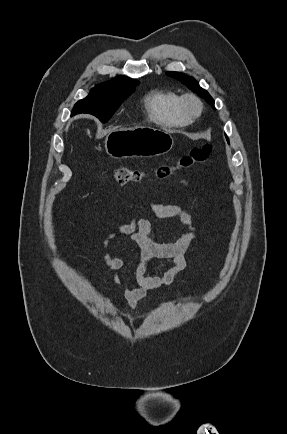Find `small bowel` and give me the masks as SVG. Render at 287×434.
Wrapping results in <instances>:
<instances>
[{
    "instance_id": "c3829d8e",
    "label": "small bowel",
    "mask_w": 287,
    "mask_h": 434,
    "mask_svg": "<svg viewBox=\"0 0 287 434\" xmlns=\"http://www.w3.org/2000/svg\"><path fill=\"white\" fill-rule=\"evenodd\" d=\"M179 184L186 187L188 182L181 180ZM144 203L160 219L179 220L186 231L175 242L160 243L152 237L149 221L132 219L127 224L113 227L102 238V257L107 271L118 286L122 284L118 271L126 265L127 261L123 256L111 257L105 252L108 241L119 234L127 235L140 250L139 262L133 268L135 286H124L125 298L130 308H135L141 300L145 299L149 290L174 284L178 275L187 266V256L193 252L198 244V229L194 224L190 210L180 204L161 203L151 196L146 197ZM152 258L170 259L172 264L161 276H148L146 275V268Z\"/></svg>"
}]
</instances>
